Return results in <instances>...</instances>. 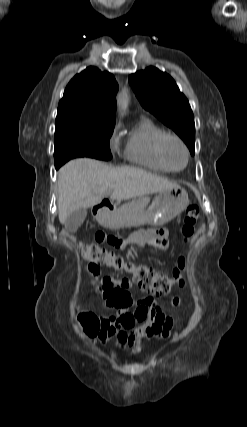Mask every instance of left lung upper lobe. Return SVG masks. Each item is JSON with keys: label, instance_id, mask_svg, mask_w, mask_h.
Segmentation results:
<instances>
[{"label": "left lung upper lobe", "instance_id": "left-lung-upper-lobe-1", "mask_svg": "<svg viewBox=\"0 0 247 427\" xmlns=\"http://www.w3.org/2000/svg\"><path fill=\"white\" fill-rule=\"evenodd\" d=\"M141 105L172 128L194 155V116L187 98L167 73L155 67L136 72L129 78Z\"/></svg>", "mask_w": 247, "mask_h": 427}]
</instances>
